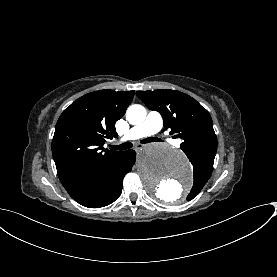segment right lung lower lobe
<instances>
[{
  "mask_svg": "<svg viewBox=\"0 0 277 277\" xmlns=\"http://www.w3.org/2000/svg\"><path fill=\"white\" fill-rule=\"evenodd\" d=\"M135 157L133 150L121 152L80 177L66 190L85 207L107 206L121 195L123 178L131 171Z\"/></svg>",
  "mask_w": 277,
  "mask_h": 277,
  "instance_id": "98d812e1",
  "label": "right lung lower lobe"
}]
</instances>
